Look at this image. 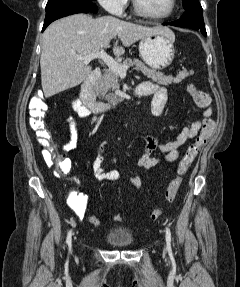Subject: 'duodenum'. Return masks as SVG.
I'll use <instances>...</instances> for the list:
<instances>
[{
    "label": "duodenum",
    "mask_w": 240,
    "mask_h": 287,
    "mask_svg": "<svg viewBox=\"0 0 240 287\" xmlns=\"http://www.w3.org/2000/svg\"><path fill=\"white\" fill-rule=\"evenodd\" d=\"M101 76L99 68L94 69L90 75L81 83L80 97L83 105L94 114L105 112L115 106L105 101L98 100L95 94V84ZM137 95H140L136 92Z\"/></svg>",
    "instance_id": "duodenum-1"
}]
</instances>
